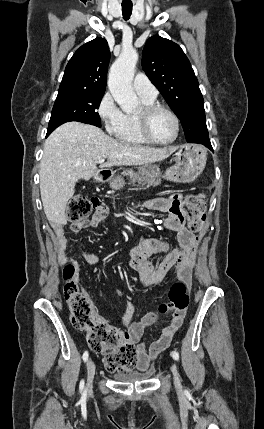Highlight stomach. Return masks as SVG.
<instances>
[{"instance_id": "obj_1", "label": "stomach", "mask_w": 264, "mask_h": 429, "mask_svg": "<svg viewBox=\"0 0 264 429\" xmlns=\"http://www.w3.org/2000/svg\"><path fill=\"white\" fill-rule=\"evenodd\" d=\"M206 151L199 145H181L175 154V164L168 168L164 178L179 183L193 182L203 171L206 165ZM138 174L147 178H158L162 175L159 166L147 164L139 167ZM95 179L100 182H109L113 189H121L124 181L115 177L109 169L97 171Z\"/></svg>"}]
</instances>
